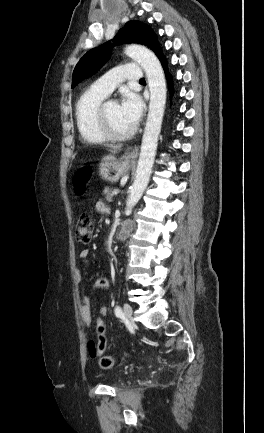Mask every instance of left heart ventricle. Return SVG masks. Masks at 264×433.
I'll list each match as a JSON object with an SVG mask.
<instances>
[{
  "label": "left heart ventricle",
  "instance_id": "obj_1",
  "mask_svg": "<svg viewBox=\"0 0 264 433\" xmlns=\"http://www.w3.org/2000/svg\"><path fill=\"white\" fill-rule=\"evenodd\" d=\"M107 115L112 128L116 132L123 133L134 126L123 115L118 103H110L107 106Z\"/></svg>",
  "mask_w": 264,
  "mask_h": 433
}]
</instances>
